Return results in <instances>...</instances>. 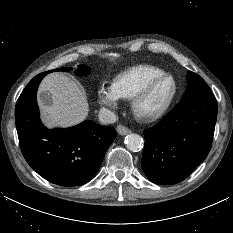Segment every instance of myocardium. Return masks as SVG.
Instances as JSON below:
<instances>
[{"label": "myocardium", "mask_w": 233, "mask_h": 233, "mask_svg": "<svg viewBox=\"0 0 233 233\" xmlns=\"http://www.w3.org/2000/svg\"><path fill=\"white\" fill-rule=\"evenodd\" d=\"M169 80L171 82L172 88L160 107L152 111H146L143 109L142 105L147 97L152 93V91L159 85L161 82ZM177 94V83L174 77L170 74L160 75L147 84H145L133 97L131 101V107L134 115L145 122H152L161 118L172 105Z\"/></svg>", "instance_id": "obj_1"}]
</instances>
